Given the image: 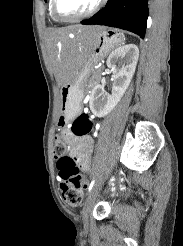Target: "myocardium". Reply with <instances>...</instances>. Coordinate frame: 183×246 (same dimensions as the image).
I'll list each match as a JSON object with an SVG mask.
<instances>
[{
  "instance_id": "myocardium-1",
  "label": "myocardium",
  "mask_w": 183,
  "mask_h": 246,
  "mask_svg": "<svg viewBox=\"0 0 183 246\" xmlns=\"http://www.w3.org/2000/svg\"><path fill=\"white\" fill-rule=\"evenodd\" d=\"M105 0H97L96 4L87 12L77 15V16H64L62 14H60L59 9H58V3L59 0H52V6H51V10H52V14L53 16L59 20V21H64V22H75V21H80L83 19H86L92 15H94L96 12L99 11V9L103 6Z\"/></svg>"
}]
</instances>
